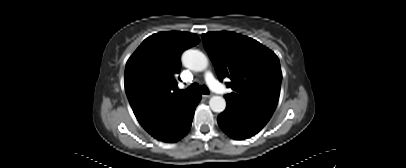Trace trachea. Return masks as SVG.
<instances>
[{
  "label": "trachea",
  "mask_w": 406,
  "mask_h": 168,
  "mask_svg": "<svg viewBox=\"0 0 406 168\" xmlns=\"http://www.w3.org/2000/svg\"><path fill=\"white\" fill-rule=\"evenodd\" d=\"M186 91L187 92H190V93H196V92H201L202 94H209L210 92H209V89L207 88V86H205V85H203V86H199V84H197V83H193L191 86H189L187 89H186Z\"/></svg>",
  "instance_id": "trachea-1"
}]
</instances>
